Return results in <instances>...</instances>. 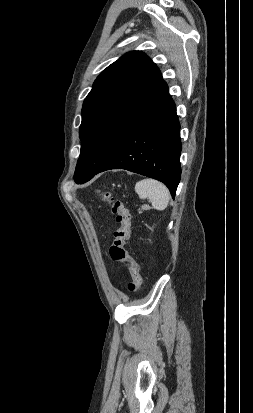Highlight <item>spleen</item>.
<instances>
[{
    "mask_svg": "<svg viewBox=\"0 0 253 413\" xmlns=\"http://www.w3.org/2000/svg\"><path fill=\"white\" fill-rule=\"evenodd\" d=\"M135 191L139 198H148L152 208L156 210H164L170 200V193L167 187L154 179H143L136 183Z\"/></svg>",
    "mask_w": 253,
    "mask_h": 413,
    "instance_id": "spleen-1",
    "label": "spleen"
}]
</instances>
